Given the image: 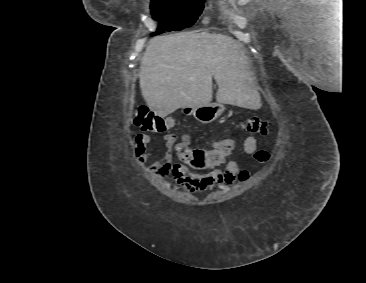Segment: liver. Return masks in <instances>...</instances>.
Wrapping results in <instances>:
<instances>
[{"instance_id": "1", "label": "liver", "mask_w": 366, "mask_h": 283, "mask_svg": "<svg viewBox=\"0 0 366 283\" xmlns=\"http://www.w3.org/2000/svg\"><path fill=\"white\" fill-rule=\"evenodd\" d=\"M244 47L233 38L187 32L150 41L141 61L140 88L148 107L166 117L182 107L209 104L212 77L216 100L246 109L262 106Z\"/></svg>"}]
</instances>
